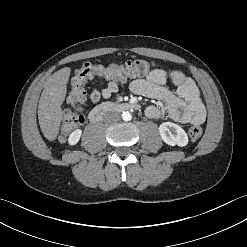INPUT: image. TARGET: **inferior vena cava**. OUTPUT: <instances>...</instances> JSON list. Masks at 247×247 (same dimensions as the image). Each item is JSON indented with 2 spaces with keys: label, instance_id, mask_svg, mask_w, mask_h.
<instances>
[{
  "label": "inferior vena cava",
  "instance_id": "1",
  "mask_svg": "<svg viewBox=\"0 0 247 247\" xmlns=\"http://www.w3.org/2000/svg\"><path fill=\"white\" fill-rule=\"evenodd\" d=\"M104 118L106 121L116 122L120 120V115L116 112H110V113L105 114Z\"/></svg>",
  "mask_w": 247,
  "mask_h": 247
}]
</instances>
